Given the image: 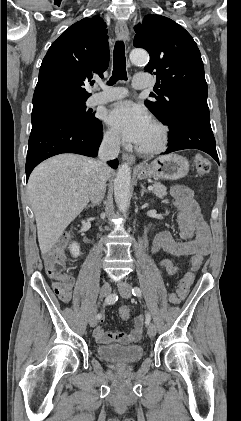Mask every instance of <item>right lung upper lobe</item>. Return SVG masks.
I'll return each mask as SVG.
<instances>
[{"mask_svg": "<svg viewBox=\"0 0 241 421\" xmlns=\"http://www.w3.org/2000/svg\"><path fill=\"white\" fill-rule=\"evenodd\" d=\"M106 24L99 16L71 25L50 46L36 85L33 106L51 101H83L85 86L103 76L110 58Z\"/></svg>", "mask_w": 241, "mask_h": 421, "instance_id": "1", "label": "right lung upper lobe"}]
</instances>
